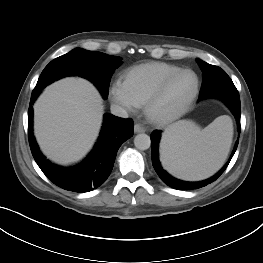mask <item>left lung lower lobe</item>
<instances>
[{
  "mask_svg": "<svg viewBox=\"0 0 263 263\" xmlns=\"http://www.w3.org/2000/svg\"><path fill=\"white\" fill-rule=\"evenodd\" d=\"M200 68L203 71V78H204V82L206 85H208L211 81H213L212 78H216V72L218 71L217 66L207 64V65L200 66ZM209 97H216L225 102V104L229 107V109L232 111V113L234 114L237 120L238 131L240 133V130H241V127H240V97H239V93L236 87H232V88L207 87L204 90V92L200 94L199 100L209 98ZM160 138H161V131L156 130L151 134V151H152L153 167L156 173L158 174V176L161 178V180L165 184H167L168 186L174 189H178V190L198 189V188L204 187L212 183L213 181H215L227 168L238 146V141H237L229 161L225 164V166L217 174H215L211 178L204 180V181L185 182V181H181V180L173 178L161 167V164L158 158V145H159Z\"/></svg>",
  "mask_w": 263,
  "mask_h": 263,
  "instance_id": "left-lung-lower-lobe-1",
  "label": "left lung lower lobe"
}]
</instances>
